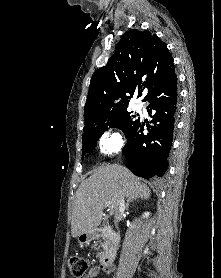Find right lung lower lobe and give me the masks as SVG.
<instances>
[{"instance_id": "right-lung-lower-lobe-1", "label": "right lung lower lobe", "mask_w": 221, "mask_h": 278, "mask_svg": "<svg viewBox=\"0 0 221 278\" xmlns=\"http://www.w3.org/2000/svg\"><path fill=\"white\" fill-rule=\"evenodd\" d=\"M143 101L150 102L151 129L144 132V122L139 121L130 129L123 148L128 168L137 176L149 179L163 176L168 165L175 121L177 117V76L175 72L152 88Z\"/></svg>"}]
</instances>
